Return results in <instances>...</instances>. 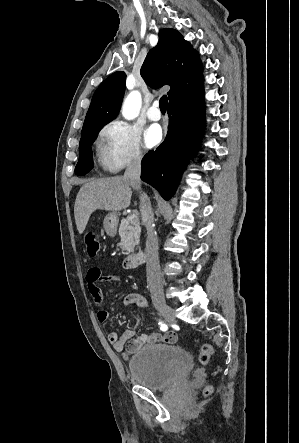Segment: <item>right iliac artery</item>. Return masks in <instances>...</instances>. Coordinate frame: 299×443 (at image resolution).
Instances as JSON below:
<instances>
[{"label":"right iliac artery","mask_w":299,"mask_h":443,"mask_svg":"<svg viewBox=\"0 0 299 443\" xmlns=\"http://www.w3.org/2000/svg\"><path fill=\"white\" fill-rule=\"evenodd\" d=\"M159 325H160V329L162 331H166L168 329V326L165 323H163L162 321H159Z\"/></svg>","instance_id":"1"}]
</instances>
